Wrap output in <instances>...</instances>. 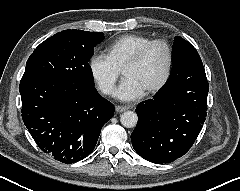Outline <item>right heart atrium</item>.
Returning a JSON list of instances; mask_svg holds the SVG:
<instances>
[{
	"instance_id": "1",
	"label": "right heart atrium",
	"mask_w": 240,
	"mask_h": 191,
	"mask_svg": "<svg viewBox=\"0 0 240 191\" xmlns=\"http://www.w3.org/2000/svg\"><path fill=\"white\" fill-rule=\"evenodd\" d=\"M88 67L99 90L105 95H111L120 75V69L108 55L103 53H94L89 59Z\"/></svg>"
}]
</instances>
